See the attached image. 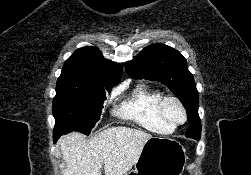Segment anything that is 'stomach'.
I'll use <instances>...</instances> for the list:
<instances>
[{
	"label": "stomach",
	"instance_id": "obj_1",
	"mask_svg": "<svg viewBox=\"0 0 251 175\" xmlns=\"http://www.w3.org/2000/svg\"><path fill=\"white\" fill-rule=\"evenodd\" d=\"M186 165V149L168 135H151L127 175H182Z\"/></svg>",
	"mask_w": 251,
	"mask_h": 175
}]
</instances>
